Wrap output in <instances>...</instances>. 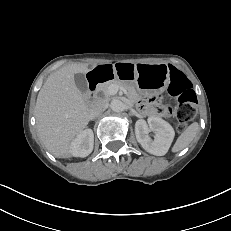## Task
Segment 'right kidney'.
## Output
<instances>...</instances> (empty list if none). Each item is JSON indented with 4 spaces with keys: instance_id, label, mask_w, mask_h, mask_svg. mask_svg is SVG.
I'll return each instance as SVG.
<instances>
[{
    "instance_id": "1",
    "label": "right kidney",
    "mask_w": 231,
    "mask_h": 231,
    "mask_svg": "<svg viewBox=\"0 0 231 231\" xmlns=\"http://www.w3.org/2000/svg\"><path fill=\"white\" fill-rule=\"evenodd\" d=\"M94 145V134L91 129L82 131L72 142L71 154L74 157H86L92 150Z\"/></svg>"
}]
</instances>
